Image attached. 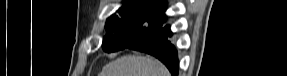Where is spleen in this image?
<instances>
[{
    "instance_id": "spleen-1",
    "label": "spleen",
    "mask_w": 287,
    "mask_h": 76,
    "mask_svg": "<svg viewBox=\"0 0 287 76\" xmlns=\"http://www.w3.org/2000/svg\"><path fill=\"white\" fill-rule=\"evenodd\" d=\"M102 76H170L167 68L158 60L126 55L107 64Z\"/></svg>"
}]
</instances>
